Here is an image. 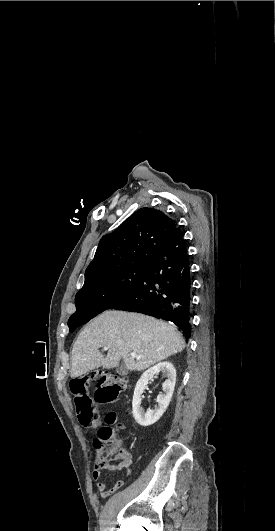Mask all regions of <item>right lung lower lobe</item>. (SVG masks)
<instances>
[{
  "instance_id": "98d812e1",
  "label": "right lung lower lobe",
  "mask_w": 275,
  "mask_h": 531,
  "mask_svg": "<svg viewBox=\"0 0 275 531\" xmlns=\"http://www.w3.org/2000/svg\"><path fill=\"white\" fill-rule=\"evenodd\" d=\"M190 264L179 228L146 265L130 293L111 309L138 312L173 322L189 338L191 333Z\"/></svg>"
}]
</instances>
